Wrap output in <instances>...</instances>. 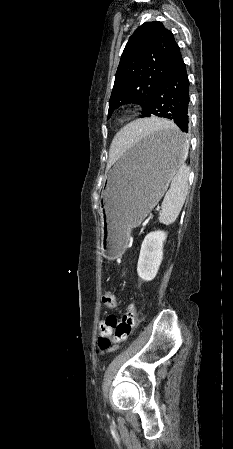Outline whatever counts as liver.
<instances>
[{"label": "liver", "instance_id": "6515ba94", "mask_svg": "<svg viewBox=\"0 0 233 449\" xmlns=\"http://www.w3.org/2000/svg\"><path fill=\"white\" fill-rule=\"evenodd\" d=\"M171 122L165 119L150 118L141 119L130 123L124 127L119 133H113L112 144L110 148V157L115 161L122 150L130 143L135 142L136 138L141 135L150 133L157 126L170 125Z\"/></svg>", "mask_w": 233, "mask_h": 449}]
</instances>
